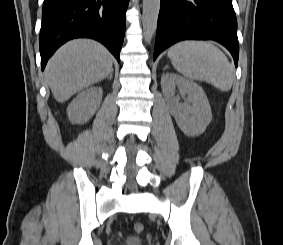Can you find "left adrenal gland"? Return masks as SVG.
Segmentation results:
<instances>
[{
  "label": "left adrenal gland",
  "instance_id": "1",
  "mask_svg": "<svg viewBox=\"0 0 283 245\" xmlns=\"http://www.w3.org/2000/svg\"><path fill=\"white\" fill-rule=\"evenodd\" d=\"M166 68H168V66H167V65L164 67V69H166Z\"/></svg>",
  "mask_w": 283,
  "mask_h": 245
}]
</instances>
